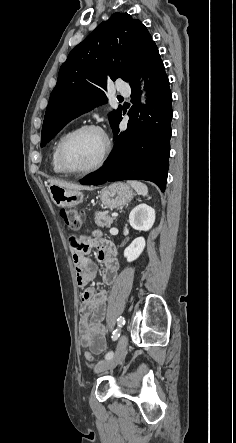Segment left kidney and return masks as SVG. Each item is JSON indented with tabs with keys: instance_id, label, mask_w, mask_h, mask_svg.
<instances>
[{
	"instance_id": "5707ae66",
	"label": "left kidney",
	"mask_w": 236,
	"mask_h": 443,
	"mask_svg": "<svg viewBox=\"0 0 236 443\" xmlns=\"http://www.w3.org/2000/svg\"><path fill=\"white\" fill-rule=\"evenodd\" d=\"M155 222V210L147 204H139L129 215L132 228L139 231H148ZM144 237H138L124 250V257L128 262L136 260L145 248Z\"/></svg>"
}]
</instances>
